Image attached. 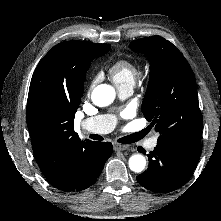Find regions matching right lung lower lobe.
Here are the masks:
<instances>
[{
    "instance_id": "98d812e1",
    "label": "right lung lower lobe",
    "mask_w": 221,
    "mask_h": 221,
    "mask_svg": "<svg viewBox=\"0 0 221 221\" xmlns=\"http://www.w3.org/2000/svg\"><path fill=\"white\" fill-rule=\"evenodd\" d=\"M113 151L110 142H93L78 151L72 165V177L59 187L62 191H81L93 185Z\"/></svg>"
}]
</instances>
